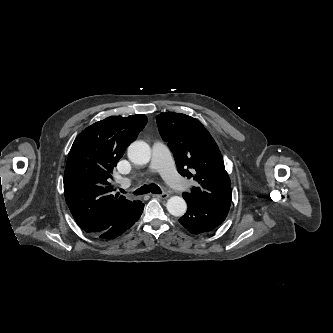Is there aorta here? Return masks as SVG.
<instances>
[{
    "label": "aorta",
    "mask_w": 333,
    "mask_h": 333,
    "mask_svg": "<svg viewBox=\"0 0 333 333\" xmlns=\"http://www.w3.org/2000/svg\"><path fill=\"white\" fill-rule=\"evenodd\" d=\"M128 158L135 164L145 165L151 158L150 146L144 141L131 143L127 150ZM168 212L173 216H182L187 210L185 200L179 196L171 197L166 204Z\"/></svg>",
    "instance_id": "762f6f07"
}]
</instances>
